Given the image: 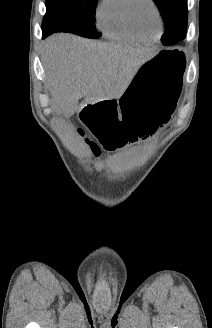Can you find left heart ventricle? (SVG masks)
<instances>
[{
    "mask_svg": "<svg viewBox=\"0 0 212 328\" xmlns=\"http://www.w3.org/2000/svg\"><path fill=\"white\" fill-rule=\"evenodd\" d=\"M135 16L143 31L155 34L158 29V20L154 9L147 2H139L135 8Z\"/></svg>",
    "mask_w": 212,
    "mask_h": 328,
    "instance_id": "obj_1",
    "label": "left heart ventricle"
}]
</instances>
